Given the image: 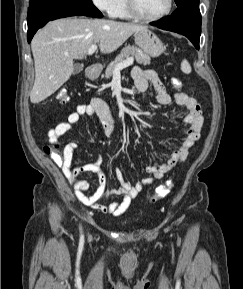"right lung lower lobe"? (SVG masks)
I'll list each match as a JSON object with an SVG mask.
<instances>
[{
    "label": "right lung lower lobe",
    "mask_w": 243,
    "mask_h": 289,
    "mask_svg": "<svg viewBox=\"0 0 243 289\" xmlns=\"http://www.w3.org/2000/svg\"><path fill=\"white\" fill-rule=\"evenodd\" d=\"M102 17L93 3L80 0H31L27 15L28 42L47 22L68 16Z\"/></svg>",
    "instance_id": "1"
}]
</instances>
